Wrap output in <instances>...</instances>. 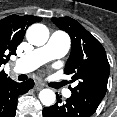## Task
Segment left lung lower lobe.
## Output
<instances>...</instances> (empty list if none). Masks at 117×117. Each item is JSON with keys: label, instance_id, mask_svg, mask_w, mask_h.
Masks as SVG:
<instances>
[{"label": "left lung lower lobe", "instance_id": "obj_1", "mask_svg": "<svg viewBox=\"0 0 117 117\" xmlns=\"http://www.w3.org/2000/svg\"><path fill=\"white\" fill-rule=\"evenodd\" d=\"M95 112L74 96L62 102L57 96V103L43 109V117H90Z\"/></svg>", "mask_w": 117, "mask_h": 117}]
</instances>
